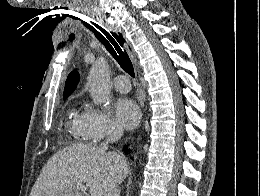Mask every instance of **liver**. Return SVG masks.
<instances>
[{"label": "liver", "instance_id": "obj_1", "mask_svg": "<svg viewBox=\"0 0 260 196\" xmlns=\"http://www.w3.org/2000/svg\"><path fill=\"white\" fill-rule=\"evenodd\" d=\"M125 160L92 144H73L46 162L30 196H77L75 184H87L90 196H112L127 176Z\"/></svg>", "mask_w": 260, "mask_h": 196}]
</instances>
